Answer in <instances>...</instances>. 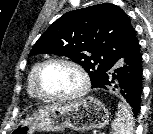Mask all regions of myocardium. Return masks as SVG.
<instances>
[{"label":"myocardium","instance_id":"1","mask_svg":"<svg viewBox=\"0 0 153 134\" xmlns=\"http://www.w3.org/2000/svg\"><path fill=\"white\" fill-rule=\"evenodd\" d=\"M51 64H64L73 68L80 76V79H81L80 88L74 93L63 95V96L50 95L44 92L41 86V77L44 70ZM90 85H91L90 76L88 71L84 68V66L75 60L65 58V57H53V58L45 60L44 62L40 64L35 74V88L38 94L41 96V98L48 101L65 102V101H72V100L79 99L87 94L90 88Z\"/></svg>","mask_w":153,"mask_h":134}]
</instances>
